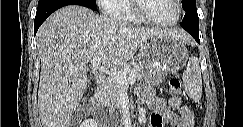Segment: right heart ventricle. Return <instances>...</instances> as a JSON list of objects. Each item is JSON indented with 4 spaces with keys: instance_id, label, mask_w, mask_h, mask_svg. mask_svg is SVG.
<instances>
[{
    "instance_id": "right-heart-ventricle-1",
    "label": "right heart ventricle",
    "mask_w": 243,
    "mask_h": 127,
    "mask_svg": "<svg viewBox=\"0 0 243 127\" xmlns=\"http://www.w3.org/2000/svg\"><path fill=\"white\" fill-rule=\"evenodd\" d=\"M133 0H115L112 3L113 16L116 20L128 23H141L132 9Z\"/></svg>"
}]
</instances>
